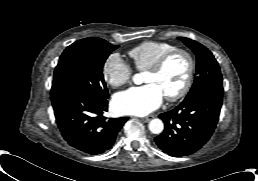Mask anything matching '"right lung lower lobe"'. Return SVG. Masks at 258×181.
I'll use <instances>...</instances> for the list:
<instances>
[{"instance_id": "1", "label": "right lung lower lobe", "mask_w": 258, "mask_h": 181, "mask_svg": "<svg viewBox=\"0 0 258 181\" xmlns=\"http://www.w3.org/2000/svg\"><path fill=\"white\" fill-rule=\"evenodd\" d=\"M57 125L72 147L91 155L109 150L127 117L107 120L108 101H99L68 87L51 89Z\"/></svg>"}]
</instances>
